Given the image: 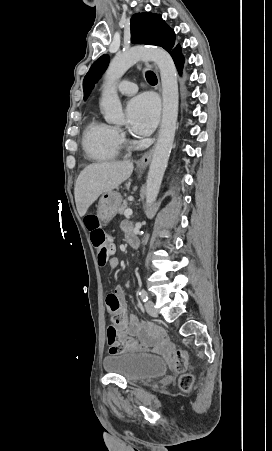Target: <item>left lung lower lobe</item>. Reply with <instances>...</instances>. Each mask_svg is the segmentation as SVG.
Instances as JSON below:
<instances>
[{"label": "left lung lower lobe", "instance_id": "1", "mask_svg": "<svg viewBox=\"0 0 272 451\" xmlns=\"http://www.w3.org/2000/svg\"><path fill=\"white\" fill-rule=\"evenodd\" d=\"M171 56L175 62V65L178 69V71L181 73L183 63H184V56L181 53V46L180 44H177L173 50L171 51Z\"/></svg>", "mask_w": 272, "mask_h": 451}]
</instances>
